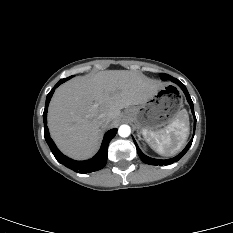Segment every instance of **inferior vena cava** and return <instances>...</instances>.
Instances as JSON below:
<instances>
[{
  "instance_id": "602c4592",
  "label": "inferior vena cava",
  "mask_w": 233,
  "mask_h": 233,
  "mask_svg": "<svg viewBox=\"0 0 233 233\" xmlns=\"http://www.w3.org/2000/svg\"><path fill=\"white\" fill-rule=\"evenodd\" d=\"M98 119H99V122L101 123V124H107L108 122H109V119L107 118V117H105V116H103V115H100L99 117H98Z\"/></svg>"
}]
</instances>
